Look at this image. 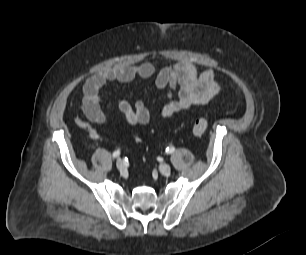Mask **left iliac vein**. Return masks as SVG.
Masks as SVG:
<instances>
[{
	"label": "left iliac vein",
	"instance_id": "4c4485c4",
	"mask_svg": "<svg viewBox=\"0 0 306 255\" xmlns=\"http://www.w3.org/2000/svg\"><path fill=\"white\" fill-rule=\"evenodd\" d=\"M159 171L161 174L168 176L171 173V166L169 164H161L159 166Z\"/></svg>",
	"mask_w": 306,
	"mask_h": 255
}]
</instances>
